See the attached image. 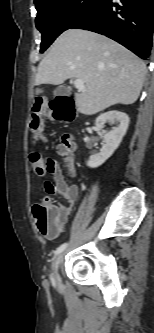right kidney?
Returning a JSON list of instances; mask_svg holds the SVG:
<instances>
[{"label": "right kidney", "instance_id": "ca27d5eb", "mask_svg": "<svg viewBox=\"0 0 154 333\" xmlns=\"http://www.w3.org/2000/svg\"><path fill=\"white\" fill-rule=\"evenodd\" d=\"M107 122L111 124L118 122L119 125L112 128V130L109 132H106L103 130V128L104 124ZM95 124L98 129L102 130L104 145L97 154L90 156L89 160L87 161V166L90 168H96L102 165L119 147L123 137L127 132L129 117L126 113L120 111H108L98 116Z\"/></svg>", "mask_w": 154, "mask_h": 333}]
</instances>
